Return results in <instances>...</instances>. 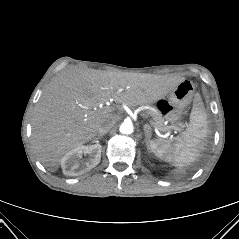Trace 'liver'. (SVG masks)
I'll return each instance as SVG.
<instances>
[{"label": "liver", "instance_id": "6515ba94", "mask_svg": "<svg viewBox=\"0 0 239 239\" xmlns=\"http://www.w3.org/2000/svg\"><path fill=\"white\" fill-rule=\"evenodd\" d=\"M184 78L73 68L49 83L32 119V144L39 161L56 172L63 156L92 140L104 122L115 123L113 101L130 107L164 97Z\"/></svg>", "mask_w": 239, "mask_h": 239}]
</instances>
